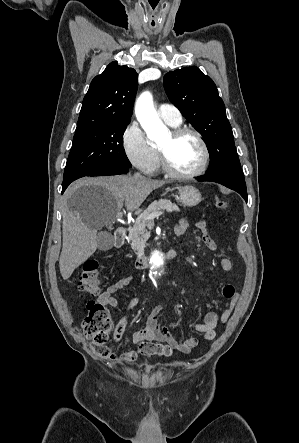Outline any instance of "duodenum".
<instances>
[{
    "mask_svg": "<svg viewBox=\"0 0 299 443\" xmlns=\"http://www.w3.org/2000/svg\"><path fill=\"white\" fill-rule=\"evenodd\" d=\"M125 233H126V228L123 226H120L115 230V232H114V246L115 247L119 248L124 245ZM176 256H177V250L174 248L169 249L165 254V257L167 259H172V258H175ZM134 266L136 269H139V270L145 269L148 266V259L144 256H138L135 259Z\"/></svg>",
    "mask_w": 299,
    "mask_h": 443,
    "instance_id": "duodenum-1",
    "label": "duodenum"
}]
</instances>
